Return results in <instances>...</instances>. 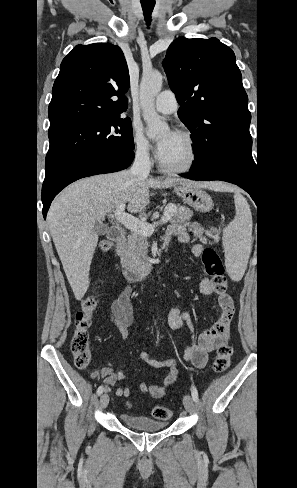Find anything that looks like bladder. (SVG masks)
I'll return each mask as SVG.
<instances>
[{"mask_svg":"<svg viewBox=\"0 0 297 488\" xmlns=\"http://www.w3.org/2000/svg\"><path fill=\"white\" fill-rule=\"evenodd\" d=\"M122 423L133 430L143 432H155L164 429L167 423L160 420H155L143 415H133L129 413H122L120 415Z\"/></svg>","mask_w":297,"mask_h":488,"instance_id":"bladder-1","label":"bladder"}]
</instances>
